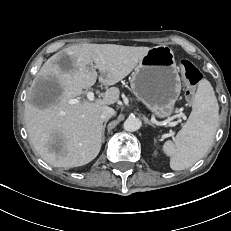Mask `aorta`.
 Here are the masks:
<instances>
[{"label": "aorta", "mask_w": 231, "mask_h": 231, "mask_svg": "<svg viewBox=\"0 0 231 231\" xmlns=\"http://www.w3.org/2000/svg\"><path fill=\"white\" fill-rule=\"evenodd\" d=\"M142 122L136 117H129L123 124V128L128 132H134L140 129Z\"/></svg>", "instance_id": "aorta-1"}]
</instances>
